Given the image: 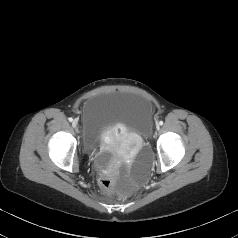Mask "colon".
<instances>
[{
	"mask_svg": "<svg viewBox=\"0 0 238 238\" xmlns=\"http://www.w3.org/2000/svg\"><path fill=\"white\" fill-rule=\"evenodd\" d=\"M101 187L106 191H111L114 188L115 180L110 176H105L100 179Z\"/></svg>",
	"mask_w": 238,
	"mask_h": 238,
	"instance_id": "obj_1",
	"label": "colon"
}]
</instances>
